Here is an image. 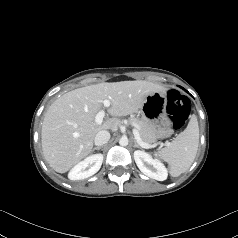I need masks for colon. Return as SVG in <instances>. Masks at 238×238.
Instances as JSON below:
<instances>
[{
  "label": "colon",
  "mask_w": 238,
  "mask_h": 238,
  "mask_svg": "<svg viewBox=\"0 0 238 238\" xmlns=\"http://www.w3.org/2000/svg\"><path fill=\"white\" fill-rule=\"evenodd\" d=\"M166 110L173 127L179 129L184 125L189 116V100L177 90L171 89L167 92Z\"/></svg>",
  "instance_id": "colon-1"
}]
</instances>
